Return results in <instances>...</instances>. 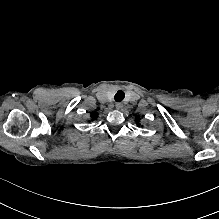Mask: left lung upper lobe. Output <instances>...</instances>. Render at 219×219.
Here are the masks:
<instances>
[{
	"label": "left lung upper lobe",
	"mask_w": 219,
	"mask_h": 219,
	"mask_svg": "<svg viewBox=\"0 0 219 219\" xmlns=\"http://www.w3.org/2000/svg\"><path fill=\"white\" fill-rule=\"evenodd\" d=\"M136 122H137L138 125H140V124H139V118L136 119Z\"/></svg>",
	"instance_id": "left-lung-upper-lobe-1"
}]
</instances>
